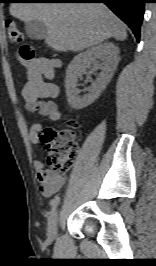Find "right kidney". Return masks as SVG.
<instances>
[{
  "label": "right kidney",
  "instance_id": "obj_1",
  "mask_svg": "<svg viewBox=\"0 0 156 266\" xmlns=\"http://www.w3.org/2000/svg\"><path fill=\"white\" fill-rule=\"evenodd\" d=\"M118 62L119 48L112 42H104L76 55L66 70L68 104L77 110L92 104L110 82ZM91 68L92 71L100 70V73L88 88V94L80 96L78 79Z\"/></svg>",
  "mask_w": 156,
  "mask_h": 266
}]
</instances>
